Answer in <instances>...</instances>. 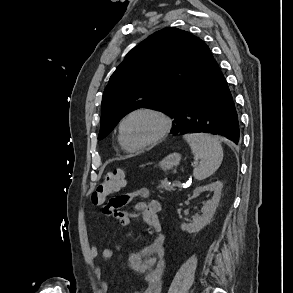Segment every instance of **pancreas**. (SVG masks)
Instances as JSON below:
<instances>
[{"instance_id":"obj_1","label":"pancreas","mask_w":293,"mask_h":293,"mask_svg":"<svg viewBox=\"0 0 293 293\" xmlns=\"http://www.w3.org/2000/svg\"><path fill=\"white\" fill-rule=\"evenodd\" d=\"M158 189L160 190L161 193H163L164 191H174L175 189L173 188V186H171L169 184V181L165 178L164 180H161L158 184Z\"/></svg>"}]
</instances>
